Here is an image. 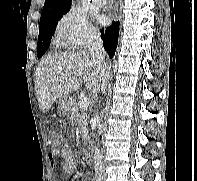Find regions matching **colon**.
Wrapping results in <instances>:
<instances>
[{
	"mask_svg": "<svg viewBox=\"0 0 197 181\" xmlns=\"http://www.w3.org/2000/svg\"><path fill=\"white\" fill-rule=\"evenodd\" d=\"M47 141L52 151H58L62 145V139L58 136L55 128L50 127L47 130Z\"/></svg>",
	"mask_w": 197,
	"mask_h": 181,
	"instance_id": "1",
	"label": "colon"
}]
</instances>
